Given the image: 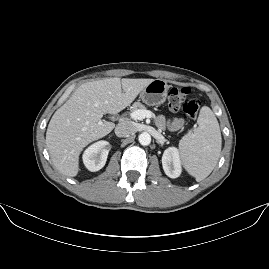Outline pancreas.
<instances>
[{
  "mask_svg": "<svg viewBox=\"0 0 269 269\" xmlns=\"http://www.w3.org/2000/svg\"><path fill=\"white\" fill-rule=\"evenodd\" d=\"M138 109H146V107L143 104H141L140 102H134L130 107L131 112H134Z\"/></svg>",
  "mask_w": 269,
  "mask_h": 269,
  "instance_id": "1",
  "label": "pancreas"
}]
</instances>
